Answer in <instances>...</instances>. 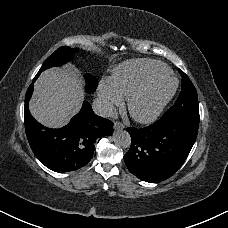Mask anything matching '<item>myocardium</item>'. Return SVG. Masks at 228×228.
I'll list each match as a JSON object with an SVG mask.
<instances>
[{
	"label": "myocardium",
	"instance_id": "f54148a6",
	"mask_svg": "<svg viewBox=\"0 0 228 228\" xmlns=\"http://www.w3.org/2000/svg\"><path fill=\"white\" fill-rule=\"evenodd\" d=\"M164 80H169V78H154L145 82L141 87H139L128 99V109L131 115L140 123L150 124L155 121L158 115L161 113L163 108L171 99L174 88L169 91L166 96L146 115L139 114L135 109L136 102L156 83Z\"/></svg>",
	"mask_w": 228,
	"mask_h": 228
}]
</instances>
